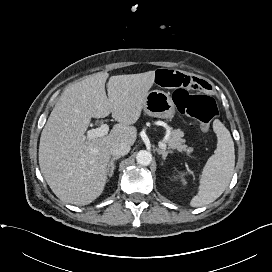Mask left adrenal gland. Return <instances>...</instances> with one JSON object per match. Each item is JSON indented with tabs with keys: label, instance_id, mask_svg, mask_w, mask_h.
<instances>
[{
	"label": "left adrenal gland",
	"instance_id": "obj_1",
	"mask_svg": "<svg viewBox=\"0 0 272 272\" xmlns=\"http://www.w3.org/2000/svg\"><path fill=\"white\" fill-rule=\"evenodd\" d=\"M156 151L158 152V154H162V159L163 160H166V157H167V155L170 153H172V151L171 150H162V149H156Z\"/></svg>",
	"mask_w": 272,
	"mask_h": 272
}]
</instances>
